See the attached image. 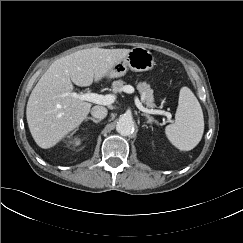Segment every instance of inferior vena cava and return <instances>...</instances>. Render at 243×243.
<instances>
[{"mask_svg":"<svg viewBox=\"0 0 243 243\" xmlns=\"http://www.w3.org/2000/svg\"><path fill=\"white\" fill-rule=\"evenodd\" d=\"M107 109L103 106H94L91 110V114L93 117L98 118V119H103L107 116Z\"/></svg>","mask_w":243,"mask_h":243,"instance_id":"1","label":"inferior vena cava"}]
</instances>
